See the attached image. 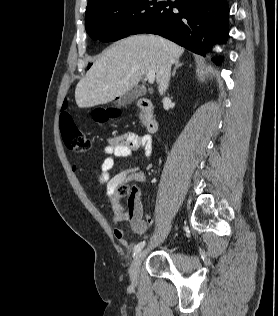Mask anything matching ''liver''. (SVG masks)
I'll use <instances>...</instances> for the list:
<instances>
[{
  "instance_id": "liver-1",
  "label": "liver",
  "mask_w": 278,
  "mask_h": 316,
  "mask_svg": "<svg viewBox=\"0 0 278 316\" xmlns=\"http://www.w3.org/2000/svg\"><path fill=\"white\" fill-rule=\"evenodd\" d=\"M184 49L154 35H135L118 41L96 59L75 89L80 108L93 107L121 97L136 87L150 70L160 82L164 63L179 59Z\"/></svg>"
}]
</instances>
